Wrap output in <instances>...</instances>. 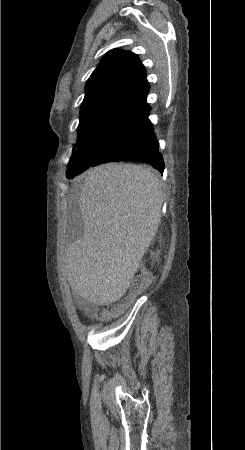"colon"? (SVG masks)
Returning a JSON list of instances; mask_svg holds the SVG:
<instances>
[{"label": "colon", "instance_id": "obj_1", "mask_svg": "<svg viewBox=\"0 0 245 450\" xmlns=\"http://www.w3.org/2000/svg\"><path fill=\"white\" fill-rule=\"evenodd\" d=\"M147 285H148L147 278L143 274V272L141 271L135 272L134 277L128 287L127 297L122 301L121 306L122 307L128 306L129 303L132 301L133 297L144 291L147 288ZM110 314H111L110 311L95 312L93 318L96 320H102L108 318Z\"/></svg>", "mask_w": 245, "mask_h": 450}]
</instances>
